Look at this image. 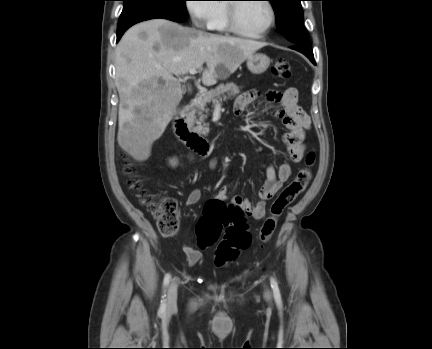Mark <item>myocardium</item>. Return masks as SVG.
<instances>
[{
	"label": "myocardium",
	"instance_id": "1",
	"mask_svg": "<svg viewBox=\"0 0 432 349\" xmlns=\"http://www.w3.org/2000/svg\"><path fill=\"white\" fill-rule=\"evenodd\" d=\"M234 1H241V0H234ZM262 2L266 3V5L268 6L269 11H270L269 23L263 31H261L259 33H250V32L243 30L239 26L238 18H237V8L241 4V2H228V4H227V26H228V29L232 33L239 35V36H242V37H246V38L260 39V38H264L265 36H267L276 23V16L277 15H276L275 6L271 0H262Z\"/></svg>",
	"mask_w": 432,
	"mask_h": 349
}]
</instances>
